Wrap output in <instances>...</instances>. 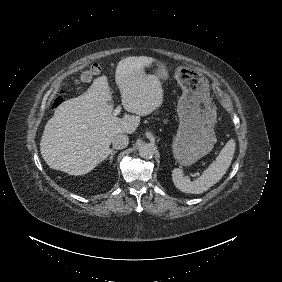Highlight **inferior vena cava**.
<instances>
[{"label":"inferior vena cava","mask_w":282,"mask_h":282,"mask_svg":"<svg viewBox=\"0 0 282 282\" xmlns=\"http://www.w3.org/2000/svg\"><path fill=\"white\" fill-rule=\"evenodd\" d=\"M129 143V138L124 133H119L112 138L113 147L116 149H124Z\"/></svg>","instance_id":"1"}]
</instances>
